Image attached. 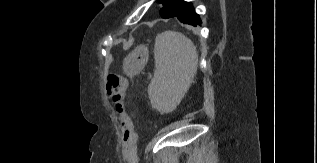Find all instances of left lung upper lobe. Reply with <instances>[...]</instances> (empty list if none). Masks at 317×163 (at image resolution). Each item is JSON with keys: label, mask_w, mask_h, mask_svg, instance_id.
Returning a JSON list of instances; mask_svg holds the SVG:
<instances>
[{"label": "left lung upper lobe", "mask_w": 317, "mask_h": 163, "mask_svg": "<svg viewBox=\"0 0 317 163\" xmlns=\"http://www.w3.org/2000/svg\"><path fill=\"white\" fill-rule=\"evenodd\" d=\"M163 4V8L161 9V16L163 18L170 17L177 13L181 5L184 3L183 0H158Z\"/></svg>", "instance_id": "left-lung-upper-lobe-1"}]
</instances>
